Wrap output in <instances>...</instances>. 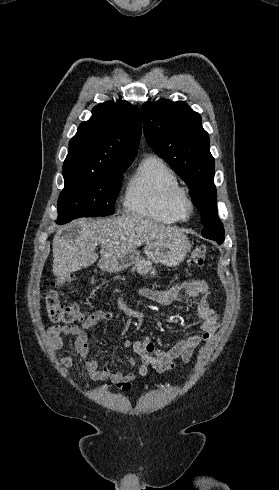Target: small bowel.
I'll return each mask as SVG.
<instances>
[{
    "instance_id": "small-bowel-1",
    "label": "small bowel",
    "mask_w": 279,
    "mask_h": 490,
    "mask_svg": "<svg viewBox=\"0 0 279 490\" xmlns=\"http://www.w3.org/2000/svg\"><path fill=\"white\" fill-rule=\"evenodd\" d=\"M209 295L207 283L199 279H186L167 289H141L139 292L141 298L163 306L181 301L186 296L195 305L202 323L198 332L183 338L167 351L157 348L148 337L135 341L125 340L123 348L132 349L136 355V359L131 361L134 367L131 371L111 372L108 362H105L100 368L96 360L88 359L91 351L86 331L99 323L111 321L114 318L111 311L95 310L88 315L81 326H49L47 339L50 346L58 350L63 347L69 337H72L74 339L73 354L60 357V361L65 367L73 369L75 364L79 362L92 380H108L120 389L128 391L131 389L134 380L146 376L150 370L157 372L172 370L178 366L177 360L183 364L188 363L200 343L214 335L219 326V315L210 308L207 300ZM72 376L77 379L74 372H72Z\"/></svg>"
}]
</instances>
